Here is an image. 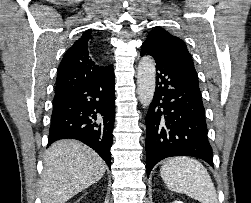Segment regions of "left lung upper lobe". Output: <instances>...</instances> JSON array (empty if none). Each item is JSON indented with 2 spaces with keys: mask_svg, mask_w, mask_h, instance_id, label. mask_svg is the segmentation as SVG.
I'll list each match as a JSON object with an SVG mask.
<instances>
[{
  "mask_svg": "<svg viewBox=\"0 0 251 203\" xmlns=\"http://www.w3.org/2000/svg\"><path fill=\"white\" fill-rule=\"evenodd\" d=\"M143 45H147L156 53L172 58L197 76L191 54L185 43L178 37L171 35L161 27H155L148 35Z\"/></svg>",
  "mask_w": 251,
  "mask_h": 203,
  "instance_id": "5c2ea615",
  "label": "left lung upper lobe"
}]
</instances>
